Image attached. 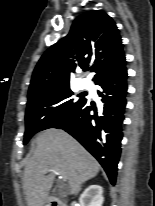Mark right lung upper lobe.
Returning a JSON list of instances; mask_svg holds the SVG:
<instances>
[{"label":"right lung upper lobe","instance_id":"right-lung-upper-lobe-1","mask_svg":"<svg viewBox=\"0 0 155 206\" xmlns=\"http://www.w3.org/2000/svg\"><path fill=\"white\" fill-rule=\"evenodd\" d=\"M125 62L119 30L110 16L90 11L79 16L70 33L51 46L34 69L28 96L69 85V72L92 64L93 81L114 72Z\"/></svg>","mask_w":155,"mask_h":206}]
</instances>
